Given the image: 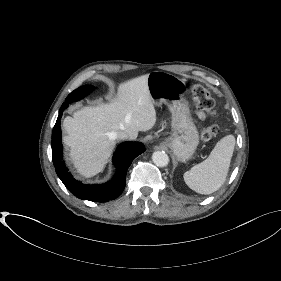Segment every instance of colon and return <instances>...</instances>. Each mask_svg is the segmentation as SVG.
Segmentation results:
<instances>
[{
  "label": "colon",
  "mask_w": 281,
  "mask_h": 281,
  "mask_svg": "<svg viewBox=\"0 0 281 281\" xmlns=\"http://www.w3.org/2000/svg\"><path fill=\"white\" fill-rule=\"evenodd\" d=\"M191 92L192 98L201 113L212 117L216 115L214 109L215 101L205 87L202 85H194ZM218 131V126L216 124H211L203 129L201 139L203 141H210L218 134Z\"/></svg>",
  "instance_id": "obj_1"
}]
</instances>
